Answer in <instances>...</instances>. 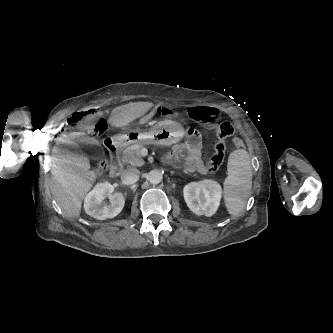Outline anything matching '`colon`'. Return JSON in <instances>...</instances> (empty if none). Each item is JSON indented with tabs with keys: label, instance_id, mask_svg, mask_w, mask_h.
<instances>
[{
	"label": "colon",
	"instance_id": "5ec220e1",
	"mask_svg": "<svg viewBox=\"0 0 333 333\" xmlns=\"http://www.w3.org/2000/svg\"><path fill=\"white\" fill-rule=\"evenodd\" d=\"M97 109L95 107L91 109H86L84 112H78L74 113L67 122L68 126H76V124L81 120L87 119V117H91V113L95 112ZM190 115L197 120H202L205 122V120H209L210 117H218L220 115L219 110L212 108V107H199V108H192L190 109ZM170 113L169 110L163 108L161 112H159V115L165 116ZM215 132H216V137H217V142L214 146V150L212 154L207 155L206 158V163H205V169L208 172H214L216 171L220 165L222 164L225 150H226V145L225 141L227 138L231 137L235 133V128L234 125L230 122H215ZM102 126L101 124L96 125V130H101ZM235 147L239 150H242L245 148L246 143L243 139H236L235 140ZM107 166V158H103L99 165H98V170L102 171L106 168Z\"/></svg>",
	"mask_w": 333,
	"mask_h": 333
}]
</instances>
